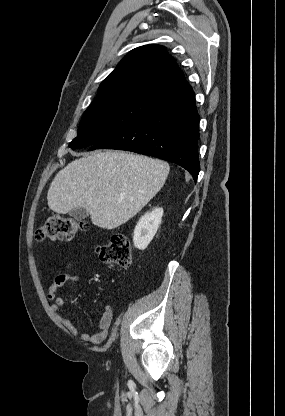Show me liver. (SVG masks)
<instances>
[{
    "instance_id": "1",
    "label": "liver",
    "mask_w": 285,
    "mask_h": 416,
    "mask_svg": "<svg viewBox=\"0 0 285 416\" xmlns=\"http://www.w3.org/2000/svg\"><path fill=\"white\" fill-rule=\"evenodd\" d=\"M169 164L120 150H97L56 174L47 194L50 210L84 208L91 222L114 230L136 216L163 188Z\"/></svg>"
}]
</instances>
